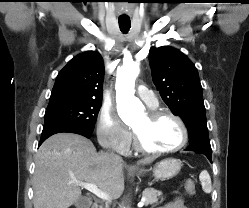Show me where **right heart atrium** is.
<instances>
[{
    "instance_id": "right-heart-atrium-1",
    "label": "right heart atrium",
    "mask_w": 249,
    "mask_h": 208,
    "mask_svg": "<svg viewBox=\"0 0 249 208\" xmlns=\"http://www.w3.org/2000/svg\"><path fill=\"white\" fill-rule=\"evenodd\" d=\"M96 131L98 141L102 146L122 154L128 153L132 142V135L123 125L114 109L107 106L101 107L98 114Z\"/></svg>"
}]
</instances>
